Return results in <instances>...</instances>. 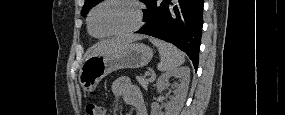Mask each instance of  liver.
Returning <instances> with one entry per match:
<instances>
[{
	"instance_id": "6515ba94",
	"label": "liver",
	"mask_w": 285,
	"mask_h": 115,
	"mask_svg": "<svg viewBox=\"0 0 285 115\" xmlns=\"http://www.w3.org/2000/svg\"><path fill=\"white\" fill-rule=\"evenodd\" d=\"M141 36H124L120 38H115L112 40H105L96 44L87 58L91 56H98L113 53L124 46L128 45L129 43L133 42L134 40L140 39Z\"/></svg>"
}]
</instances>
